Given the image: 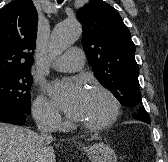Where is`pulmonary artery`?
<instances>
[{"instance_id":"pulmonary-artery-1","label":"pulmonary artery","mask_w":168,"mask_h":162,"mask_svg":"<svg viewBox=\"0 0 168 162\" xmlns=\"http://www.w3.org/2000/svg\"><path fill=\"white\" fill-rule=\"evenodd\" d=\"M85 63V55L80 48L74 47L66 51L53 63V67L63 72L80 70Z\"/></svg>"}]
</instances>
